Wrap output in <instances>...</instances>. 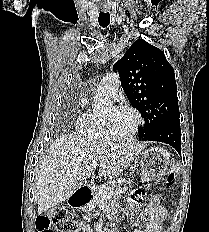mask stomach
Here are the masks:
<instances>
[{
	"instance_id": "stomach-1",
	"label": "stomach",
	"mask_w": 209,
	"mask_h": 232,
	"mask_svg": "<svg viewBox=\"0 0 209 232\" xmlns=\"http://www.w3.org/2000/svg\"><path fill=\"white\" fill-rule=\"evenodd\" d=\"M169 152L162 147H151L141 154V176L146 182L160 180L168 171ZM128 182V179H125ZM98 191H107V186H98Z\"/></svg>"
}]
</instances>
